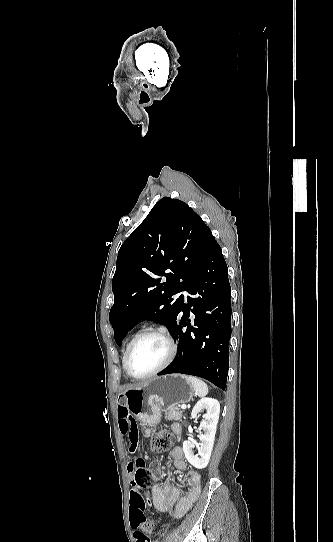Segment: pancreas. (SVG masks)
<instances>
[{
    "mask_svg": "<svg viewBox=\"0 0 333 542\" xmlns=\"http://www.w3.org/2000/svg\"><path fill=\"white\" fill-rule=\"evenodd\" d=\"M182 414L183 412L180 408H170L165 414V420H170V422H173V420H181Z\"/></svg>",
    "mask_w": 333,
    "mask_h": 542,
    "instance_id": "cf45deb5",
    "label": "pancreas"
}]
</instances>
